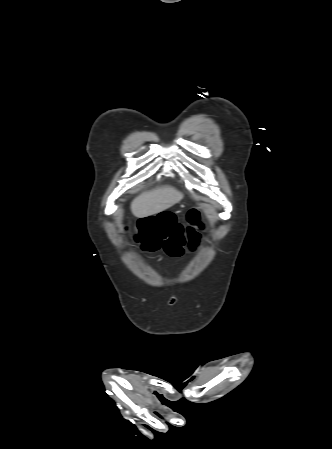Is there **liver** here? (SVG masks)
I'll return each instance as SVG.
<instances>
[{
    "label": "liver",
    "mask_w": 332,
    "mask_h": 449,
    "mask_svg": "<svg viewBox=\"0 0 332 449\" xmlns=\"http://www.w3.org/2000/svg\"><path fill=\"white\" fill-rule=\"evenodd\" d=\"M183 193L171 186H161L136 197L131 203V211L137 218H145L179 203Z\"/></svg>",
    "instance_id": "obj_1"
}]
</instances>
